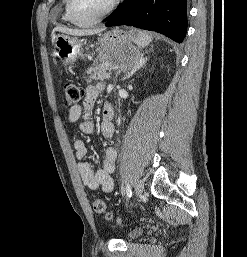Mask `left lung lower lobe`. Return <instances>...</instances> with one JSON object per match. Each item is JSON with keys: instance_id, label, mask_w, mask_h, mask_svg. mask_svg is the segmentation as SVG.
Here are the masks:
<instances>
[{"instance_id": "left-lung-lower-lobe-1", "label": "left lung lower lobe", "mask_w": 247, "mask_h": 257, "mask_svg": "<svg viewBox=\"0 0 247 257\" xmlns=\"http://www.w3.org/2000/svg\"><path fill=\"white\" fill-rule=\"evenodd\" d=\"M187 0H125L105 26L128 25L161 33L182 43L187 32Z\"/></svg>"}]
</instances>
